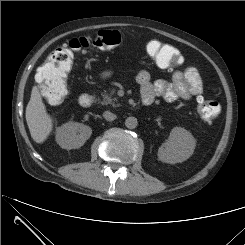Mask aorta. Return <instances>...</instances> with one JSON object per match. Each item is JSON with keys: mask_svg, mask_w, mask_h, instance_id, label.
<instances>
[{"mask_svg": "<svg viewBox=\"0 0 245 245\" xmlns=\"http://www.w3.org/2000/svg\"><path fill=\"white\" fill-rule=\"evenodd\" d=\"M138 125V121H137V118L135 117H128L126 120H125V126L128 128V129H134L136 128Z\"/></svg>", "mask_w": 245, "mask_h": 245, "instance_id": "obj_1", "label": "aorta"}]
</instances>
